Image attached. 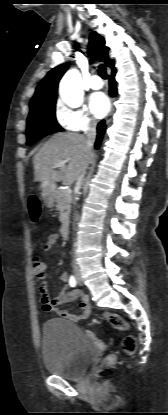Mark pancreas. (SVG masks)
I'll use <instances>...</instances> for the list:
<instances>
[{"label": "pancreas", "instance_id": "1", "mask_svg": "<svg viewBox=\"0 0 168 415\" xmlns=\"http://www.w3.org/2000/svg\"><path fill=\"white\" fill-rule=\"evenodd\" d=\"M56 207L60 211L59 220L62 224L68 222L71 210L72 195L66 194L65 190H58L54 194Z\"/></svg>", "mask_w": 168, "mask_h": 415}]
</instances>
